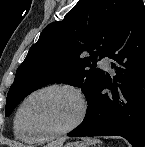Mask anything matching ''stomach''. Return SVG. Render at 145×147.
<instances>
[{
	"instance_id": "obj_1",
	"label": "stomach",
	"mask_w": 145,
	"mask_h": 147,
	"mask_svg": "<svg viewBox=\"0 0 145 147\" xmlns=\"http://www.w3.org/2000/svg\"><path fill=\"white\" fill-rule=\"evenodd\" d=\"M65 147H88V144L84 142H72L67 144Z\"/></svg>"
}]
</instances>
